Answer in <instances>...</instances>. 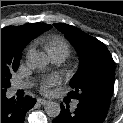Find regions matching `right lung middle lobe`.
I'll list each match as a JSON object with an SVG mask.
<instances>
[{"label":"right lung middle lobe","instance_id":"1","mask_svg":"<svg viewBox=\"0 0 123 123\" xmlns=\"http://www.w3.org/2000/svg\"><path fill=\"white\" fill-rule=\"evenodd\" d=\"M19 65L8 66L4 63H1V95L6 94L7 88L11 85L10 78L11 73L18 69Z\"/></svg>","mask_w":123,"mask_h":123}]
</instances>
